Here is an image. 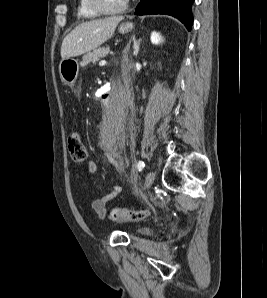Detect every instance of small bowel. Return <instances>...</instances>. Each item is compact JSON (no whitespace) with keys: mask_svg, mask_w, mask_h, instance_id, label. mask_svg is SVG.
I'll return each instance as SVG.
<instances>
[{"mask_svg":"<svg viewBox=\"0 0 267 298\" xmlns=\"http://www.w3.org/2000/svg\"><path fill=\"white\" fill-rule=\"evenodd\" d=\"M117 168L119 170L122 169L121 166H117ZM99 168L98 165L94 162H90L87 165V171L89 173H96L98 172ZM122 191L121 186L116 185L112 188V190L107 193L106 195L97 197L95 199L92 200L91 202V207L92 209L98 214V216L103 219L105 217L106 214V204L110 201H112L113 199H115Z\"/></svg>","mask_w":267,"mask_h":298,"instance_id":"small-bowel-1","label":"small bowel"}]
</instances>
